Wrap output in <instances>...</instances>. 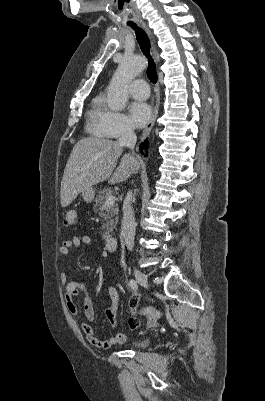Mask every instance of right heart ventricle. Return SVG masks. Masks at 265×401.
I'll return each mask as SVG.
<instances>
[{
	"instance_id": "1",
	"label": "right heart ventricle",
	"mask_w": 265,
	"mask_h": 401,
	"mask_svg": "<svg viewBox=\"0 0 265 401\" xmlns=\"http://www.w3.org/2000/svg\"><path fill=\"white\" fill-rule=\"evenodd\" d=\"M104 97L102 94H98L94 96L90 102L89 105V110H88V115L93 117V130L94 133L97 137L101 138L103 142L110 143L111 140L106 139L110 136L105 134L99 124H98V116L101 114L103 108H104ZM126 138V137H125ZM125 138H120V139H125Z\"/></svg>"
}]
</instances>
